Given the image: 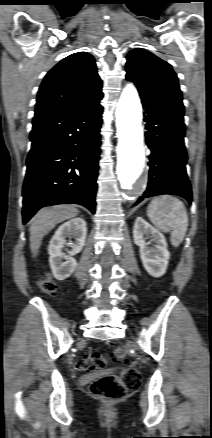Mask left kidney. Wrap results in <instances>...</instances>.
I'll return each instance as SVG.
<instances>
[{
    "label": "left kidney",
    "mask_w": 212,
    "mask_h": 438,
    "mask_svg": "<svg viewBox=\"0 0 212 438\" xmlns=\"http://www.w3.org/2000/svg\"><path fill=\"white\" fill-rule=\"evenodd\" d=\"M150 236L153 247H149L145 237ZM134 243L140 248V257L145 270L153 277H161L166 272L170 253L164 235L145 221L137 217L133 228Z\"/></svg>",
    "instance_id": "obj_1"
}]
</instances>
